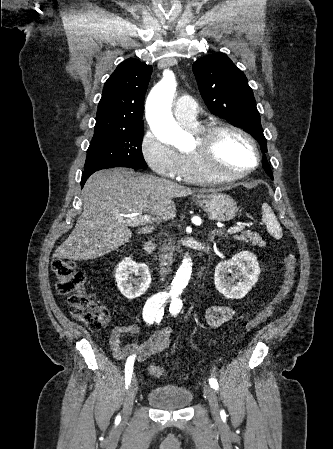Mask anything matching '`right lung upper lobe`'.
<instances>
[{"label":"right lung upper lobe","instance_id":"obj_1","mask_svg":"<svg viewBox=\"0 0 333 449\" xmlns=\"http://www.w3.org/2000/svg\"><path fill=\"white\" fill-rule=\"evenodd\" d=\"M152 66L129 58L105 82L98 105L95 131H132L143 127L144 97Z\"/></svg>","mask_w":333,"mask_h":449}]
</instances>
